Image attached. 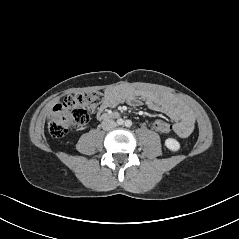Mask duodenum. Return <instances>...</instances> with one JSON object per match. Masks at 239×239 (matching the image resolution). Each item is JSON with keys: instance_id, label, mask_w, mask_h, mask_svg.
<instances>
[{"instance_id": "duodenum-1", "label": "duodenum", "mask_w": 239, "mask_h": 239, "mask_svg": "<svg viewBox=\"0 0 239 239\" xmlns=\"http://www.w3.org/2000/svg\"><path fill=\"white\" fill-rule=\"evenodd\" d=\"M119 116V114L117 112H111V113H104L101 116V119L103 120H107V119H115Z\"/></svg>"}]
</instances>
